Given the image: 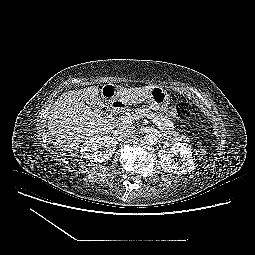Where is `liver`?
<instances>
[{"instance_id": "6515ba94", "label": "liver", "mask_w": 255, "mask_h": 255, "mask_svg": "<svg viewBox=\"0 0 255 255\" xmlns=\"http://www.w3.org/2000/svg\"><path fill=\"white\" fill-rule=\"evenodd\" d=\"M152 88V85L132 89L117 87L115 96L109 100H118L124 105L140 104ZM103 106L97 86L63 93L54 102L48 117V132L54 143L76 155L84 141L111 133L114 125L102 117Z\"/></svg>"}]
</instances>
